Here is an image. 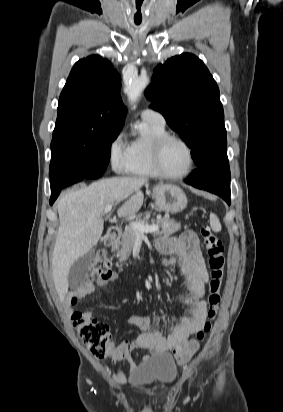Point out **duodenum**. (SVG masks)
I'll return each mask as SVG.
<instances>
[{"mask_svg":"<svg viewBox=\"0 0 283 412\" xmlns=\"http://www.w3.org/2000/svg\"><path fill=\"white\" fill-rule=\"evenodd\" d=\"M120 228L118 227H109L105 236V242L108 245H113L119 236Z\"/></svg>","mask_w":283,"mask_h":412,"instance_id":"410a0bca","label":"duodenum"}]
</instances>
